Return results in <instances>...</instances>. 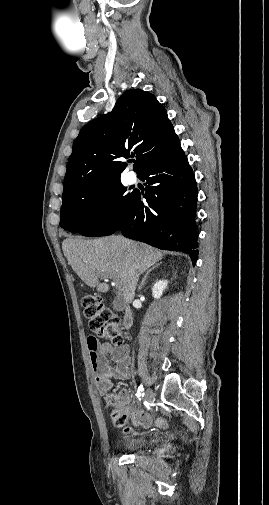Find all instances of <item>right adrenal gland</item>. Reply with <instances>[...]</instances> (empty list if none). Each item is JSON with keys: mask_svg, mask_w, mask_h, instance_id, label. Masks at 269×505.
Segmentation results:
<instances>
[{"mask_svg": "<svg viewBox=\"0 0 269 505\" xmlns=\"http://www.w3.org/2000/svg\"><path fill=\"white\" fill-rule=\"evenodd\" d=\"M160 264H161V263H158V264L154 265L152 268H150V269L146 272V274L144 275V277H143V279H142V281H141V283H140V285H139V287H138V290H141V289H142V287H143V285L145 284V281H146L147 277L149 276L150 272H152V271H153L155 268H157Z\"/></svg>", "mask_w": 269, "mask_h": 505, "instance_id": "2a0ac1e0", "label": "right adrenal gland"}]
</instances>
